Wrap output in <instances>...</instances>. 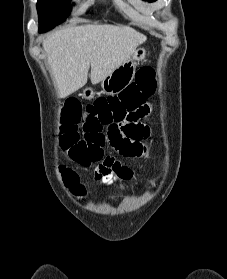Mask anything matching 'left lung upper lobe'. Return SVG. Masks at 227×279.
Returning <instances> with one entry per match:
<instances>
[{"label":"left lung upper lobe","mask_w":227,"mask_h":279,"mask_svg":"<svg viewBox=\"0 0 227 279\" xmlns=\"http://www.w3.org/2000/svg\"><path fill=\"white\" fill-rule=\"evenodd\" d=\"M146 1H149V2H154V1H156V0H146Z\"/></svg>","instance_id":"obj_1"}]
</instances>
